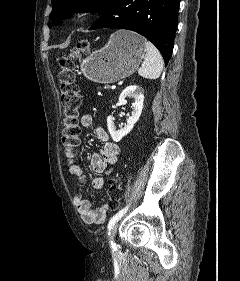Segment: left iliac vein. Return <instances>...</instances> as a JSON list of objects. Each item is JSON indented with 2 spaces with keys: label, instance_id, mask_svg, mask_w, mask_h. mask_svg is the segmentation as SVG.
<instances>
[{
  "label": "left iliac vein",
  "instance_id": "1",
  "mask_svg": "<svg viewBox=\"0 0 240 281\" xmlns=\"http://www.w3.org/2000/svg\"><path fill=\"white\" fill-rule=\"evenodd\" d=\"M116 230H117V224L114 225V226L112 227V229H111V232H110V239H111V240H110V241H112L113 238L115 237Z\"/></svg>",
  "mask_w": 240,
  "mask_h": 281
}]
</instances>
